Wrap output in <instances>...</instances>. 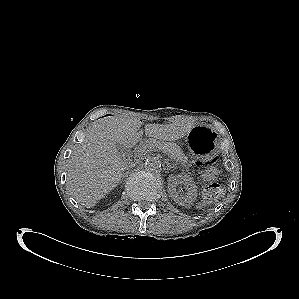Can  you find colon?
<instances>
[{
    "mask_svg": "<svg viewBox=\"0 0 299 299\" xmlns=\"http://www.w3.org/2000/svg\"><path fill=\"white\" fill-rule=\"evenodd\" d=\"M215 160L206 163L208 166L204 172V180L208 182V185L205 187L203 191V199L206 202H211L219 192V185L214 182L215 178L218 175V169L214 166Z\"/></svg>",
    "mask_w": 299,
    "mask_h": 299,
    "instance_id": "colon-1",
    "label": "colon"
}]
</instances>
